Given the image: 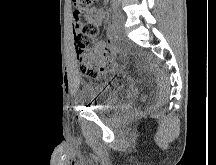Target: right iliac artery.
I'll return each instance as SVG.
<instances>
[{
  "instance_id": "right-iliac-artery-1",
  "label": "right iliac artery",
  "mask_w": 216,
  "mask_h": 165,
  "mask_svg": "<svg viewBox=\"0 0 216 165\" xmlns=\"http://www.w3.org/2000/svg\"><path fill=\"white\" fill-rule=\"evenodd\" d=\"M116 33V29L113 23H110L108 26V36L112 38Z\"/></svg>"
}]
</instances>
